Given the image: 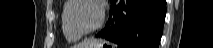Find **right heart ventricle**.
Returning a JSON list of instances; mask_svg holds the SVG:
<instances>
[{"label": "right heart ventricle", "instance_id": "obj_1", "mask_svg": "<svg viewBox=\"0 0 213 48\" xmlns=\"http://www.w3.org/2000/svg\"><path fill=\"white\" fill-rule=\"evenodd\" d=\"M64 11H65V8H64V10H63V13H64ZM62 16H63V14H62ZM61 30H62V33H63L65 39H66L68 42H70V43L76 42V41H78V40L80 39V38H78V37H76V36L71 35V34L65 29V27H64V25H63V21H62V24H61Z\"/></svg>", "mask_w": 213, "mask_h": 48}]
</instances>
